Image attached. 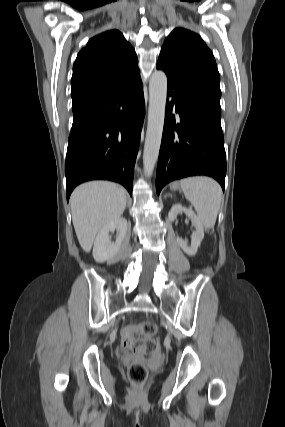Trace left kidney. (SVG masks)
<instances>
[{"label":"left kidney","instance_id":"left-kidney-1","mask_svg":"<svg viewBox=\"0 0 285 427\" xmlns=\"http://www.w3.org/2000/svg\"><path fill=\"white\" fill-rule=\"evenodd\" d=\"M182 213H185L189 217V219H191V222L196 228V231L191 236L190 246L187 245V241H184L181 238H177V243L187 255L193 256L197 253L198 247L200 246V243L204 238V227L200 222L199 218L192 210L187 209L181 206L180 204L172 206L168 214V218L170 221H174L177 218L178 214Z\"/></svg>","mask_w":285,"mask_h":427}]
</instances>
